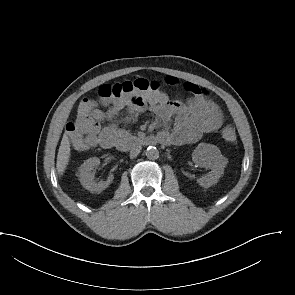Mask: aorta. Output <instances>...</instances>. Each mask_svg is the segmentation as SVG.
Listing matches in <instances>:
<instances>
[{"instance_id":"aorta-1","label":"aorta","mask_w":295,"mask_h":295,"mask_svg":"<svg viewBox=\"0 0 295 295\" xmlns=\"http://www.w3.org/2000/svg\"><path fill=\"white\" fill-rule=\"evenodd\" d=\"M148 159L154 160L159 157V151L156 147L149 146L145 152Z\"/></svg>"}]
</instances>
